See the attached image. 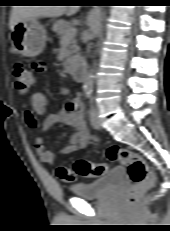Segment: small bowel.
<instances>
[{
    "mask_svg": "<svg viewBox=\"0 0 170 231\" xmlns=\"http://www.w3.org/2000/svg\"><path fill=\"white\" fill-rule=\"evenodd\" d=\"M33 73H42L46 70L47 64L43 60L34 61L31 66ZM31 110H26L24 120L31 128L37 127V117L43 118V129L47 130L56 123H64L73 129V133L67 144L61 149V154H71L84 149L90 139L91 134L83 118V103L79 97H75L69 102L58 106L54 113H47L49 107L55 105L43 93L30 95ZM35 148L40 160L48 165L55 164V154L48 150L42 136L35 139Z\"/></svg>",
    "mask_w": 170,
    "mask_h": 231,
    "instance_id": "c3829d8e",
    "label": "small bowel"
}]
</instances>
